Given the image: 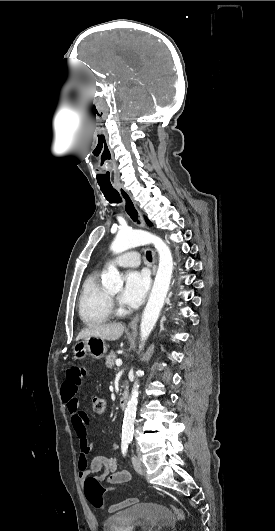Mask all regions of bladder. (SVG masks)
<instances>
[{"instance_id":"1","label":"bladder","mask_w":275,"mask_h":531,"mask_svg":"<svg viewBox=\"0 0 275 531\" xmlns=\"http://www.w3.org/2000/svg\"><path fill=\"white\" fill-rule=\"evenodd\" d=\"M174 516L165 504L146 502L107 516L103 531H172Z\"/></svg>"}]
</instances>
